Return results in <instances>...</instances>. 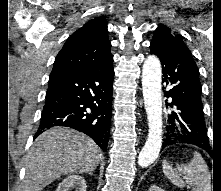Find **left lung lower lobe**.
Here are the masks:
<instances>
[{
  "mask_svg": "<svg viewBox=\"0 0 221 191\" xmlns=\"http://www.w3.org/2000/svg\"><path fill=\"white\" fill-rule=\"evenodd\" d=\"M151 54L159 57L162 63L163 82L170 89L164 96L172 98L170 104L175 109L169 116L170 125L162 149L167 146L186 143L210 150L207 129L204 122L201 101L202 88L199 71L190 50L182 39L171 44H150Z\"/></svg>",
  "mask_w": 221,
  "mask_h": 191,
  "instance_id": "obj_1",
  "label": "left lung lower lobe"
}]
</instances>
